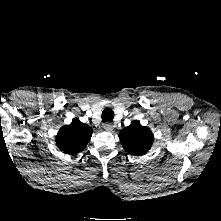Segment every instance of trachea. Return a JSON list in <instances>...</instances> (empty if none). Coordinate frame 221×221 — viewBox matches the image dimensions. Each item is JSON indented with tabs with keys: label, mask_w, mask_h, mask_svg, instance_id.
Returning <instances> with one entry per match:
<instances>
[{
	"label": "trachea",
	"mask_w": 221,
	"mask_h": 221,
	"mask_svg": "<svg viewBox=\"0 0 221 221\" xmlns=\"http://www.w3.org/2000/svg\"><path fill=\"white\" fill-rule=\"evenodd\" d=\"M114 118V112L111 108H106L102 112V120L103 121H112Z\"/></svg>",
	"instance_id": "obj_1"
}]
</instances>
